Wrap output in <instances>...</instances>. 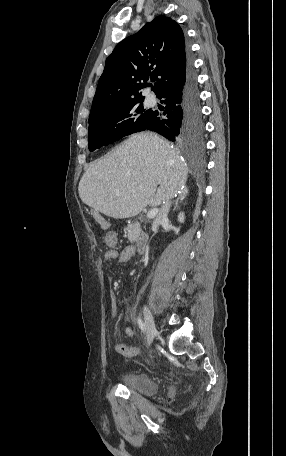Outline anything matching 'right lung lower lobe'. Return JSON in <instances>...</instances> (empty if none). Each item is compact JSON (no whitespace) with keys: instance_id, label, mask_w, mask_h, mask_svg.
<instances>
[{"instance_id":"98d812e1","label":"right lung lower lobe","mask_w":286,"mask_h":456,"mask_svg":"<svg viewBox=\"0 0 286 456\" xmlns=\"http://www.w3.org/2000/svg\"><path fill=\"white\" fill-rule=\"evenodd\" d=\"M157 97L164 99L162 102L166 105L165 110L162 113L154 111L147 129L175 141L176 139L182 140L193 137L196 133H187L186 127L192 124H201L202 134L203 123L199 92L191 62L186 75L166 87Z\"/></svg>"}]
</instances>
